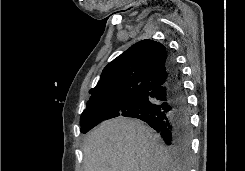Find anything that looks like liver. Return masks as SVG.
Masks as SVG:
<instances>
[{"label": "liver", "mask_w": 245, "mask_h": 171, "mask_svg": "<svg viewBox=\"0 0 245 171\" xmlns=\"http://www.w3.org/2000/svg\"><path fill=\"white\" fill-rule=\"evenodd\" d=\"M84 171H179L160 136L137 119L103 122L83 145Z\"/></svg>", "instance_id": "obj_1"}]
</instances>
